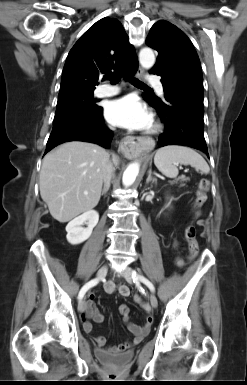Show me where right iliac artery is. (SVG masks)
Returning <instances> with one entry per match:
<instances>
[{"mask_svg": "<svg viewBox=\"0 0 247 385\" xmlns=\"http://www.w3.org/2000/svg\"><path fill=\"white\" fill-rule=\"evenodd\" d=\"M98 283V279H92L91 281H89L88 283H86L80 290L79 294H78V299L81 300L85 293L87 292L88 289H90L91 287L95 286L96 284Z\"/></svg>", "mask_w": 247, "mask_h": 385, "instance_id": "obj_1", "label": "right iliac artery"}]
</instances>
